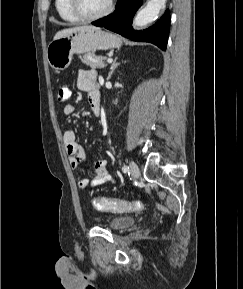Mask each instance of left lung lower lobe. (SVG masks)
Segmentation results:
<instances>
[{
  "mask_svg": "<svg viewBox=\"0 0 243 289\" xmlns=\"http://www.w3.org/2000/svg\"><path fill=\"white\" fill-rule=\"evenodd\" d=\"M143 0H118L115 11L105 18L92 22L93 25L105 27L134 41H145L166 50L170 27V14L167 10L161 19L149 29L134 31L132 19L142 5Z\"/></svg>",
  "mask_w": 243,
  "mask_h": 289,
  "instance_id": "1",
  "label": "left lung lower lobe"
}]
</instances>
